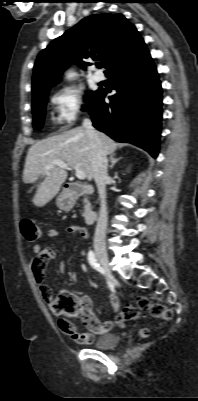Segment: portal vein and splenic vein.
Masks as SVG:
<instances>
[{"label":"portal vein and splenic vein","instance_id":"18ae733b","mask_svg":"<svg viewBox=\"0 0 198 401\" xmlns=\"http://www.w3.org/2000/svg\"><path fill=\"white\" fill-rule=\"evenodd\" d=\"M54 165L59 166V167H61L62 169H65V170H70L69 166H68L65 162L60 161V160H54V161L51 162V164H49V165H47V166L45 167V171H46V172L50 171L51 168H52ZM76 177H77L78 179H80V180H84V179L86 178V174H85V172L82 171V170H77V171H76Z\"/></svg>","mask_w":198,"mask_h":401}]
</instances>
